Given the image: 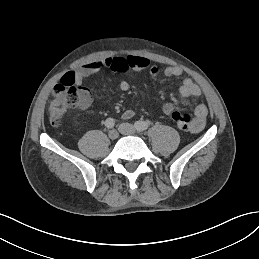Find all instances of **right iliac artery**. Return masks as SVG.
I'll return each mask as SVG.
<instances>
[{
	"label": "right iliac artery",
	"mask_w": 259,
	"mask_h": 259,
	"mask_svg": "<svg viewBox=\"0 0 259 259\" xmlns=\"http://www.w3.org/2000/svg\"><path fill=\"white\" fill-rule=\"evenodd\" d=\"M115 125V121L113 118H107L105 121V126L109 129L113 128Z\"/></svg>",
	"instance_id": "1"
}]
</instances>
